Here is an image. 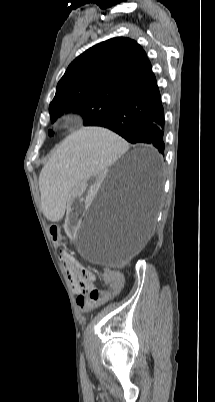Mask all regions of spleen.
I'll return each instance as SVG.
<instances>
[{
  "instance_id": "spleen-1",
  "label": "spleen",
  "mask_w": 215,
  "mask_h": 402,
  "mask_svg": "<svg viewBox=\"0 0 215 402\" xmlns=\"http://www.w3.org/2000/svg\"><path fill=\"white\" fill-rule=\"evenodd\" d=\"M124 141L109 128H76V133L60 143L40 178L42 207L51 220H59L67 208L65 193L86 175L104 169L124 151Z\"/></svg>"
}]
</instances>
